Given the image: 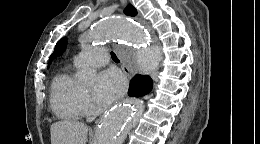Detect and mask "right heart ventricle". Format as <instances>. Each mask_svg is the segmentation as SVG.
<instances>
[{
  "label": "right heart ventricle",
  "instance_id": "obj_1",
  "mask_svg": "<svg viewBox=\"0 0 260 144\" xmlns=\"http://www.w3.org/2000/svg\"><path fill=\"white\" fill-rule=\"evenodd\" d=\"M73 66L58 73L51 85L50 104L55 115L63 120H77L85 113L84 93L73 75Z\"/></svg>",
  "mask_w": 260,
  "mask_h": 144
}]
</instances>
